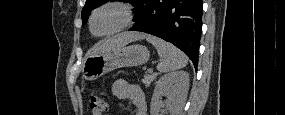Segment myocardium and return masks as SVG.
<instances>
[{"label":"myocardium","mask_w":285,"mask_h":115,"mask_svg":"<svg viewBox=\"0 0 285 115\" xmlns=\"http://www.w3.org/2000/svg\"><path fill=\"white\" fill-rule=\"evenodd\" d=\"M105 8H112L116 10L121 17V21L114 29L108 32L96 33L93 30V21L95 19V16ZM134 20H135V13L133 7L129 3L124 1H108L98 6L91 12L89 16V30L93 35L97 37H108L126 30L127 28L133 25Z\"/></svg>","instance_id":"obj_1"}]
</instances>
